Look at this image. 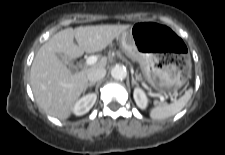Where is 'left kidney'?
<instances>
[{"mask_svg":"<svg viewBox=\"0 0 225 155\" xmlns=\"http://www.w3.org/2000/svg\"><path fill=\"white\" fill-rule=\"evenodd\" d=\"M133 97H134V100H135L137 106L140 109H145L147 107L148 99L142 89L135 88L134 92H133Z\"/></svg>","mask_w":225,"mask_h":155,"instance_id":"1","label":"left kidney"}]
</instances>
